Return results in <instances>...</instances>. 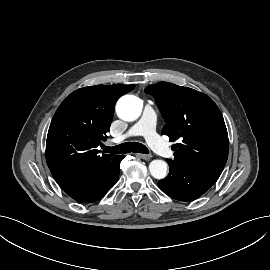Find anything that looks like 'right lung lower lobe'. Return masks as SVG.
Listing matches in <instances>:
<instances>
[{"label":"right lung lower lobe","instance_id":"98d812e1","mask_svg":"<svg viewBox=\"0 0 270 270\" xmlns=\"http://www.w3.org/2000/svg\"><path fill=\"white\" fill-rule=\"evenodd\" d=\"M124 155H118L100 169L85 176L59 184L70 197L81 203H90L102 198L117 182L120 162Z\"/></svg>","mask_w":270,"mask_h":270}]
</instances>
